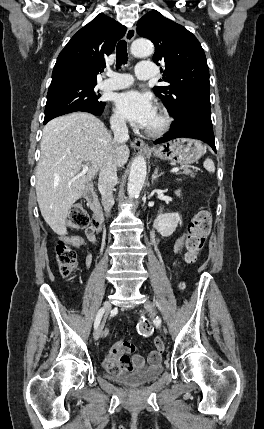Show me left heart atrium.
Segmentation results:
<instances>
[{
  "label": "left heart atrium",
  "mask_w": 264,
  "mask_h": 429,
  "mask_svg": "<svg viewBox=\"0 0 264 429\" xmlns=\"http://www.w3.org/2000/svg\"><path fill=\"white\" fill-rule=\"evenodd\" d=\"M115 109L122 118L140 127H147L156 115L151 96L136 90L117 94Z\"/></svg>",
  "instance_id": "left-heart-atrium-1"
}]
</instances>
